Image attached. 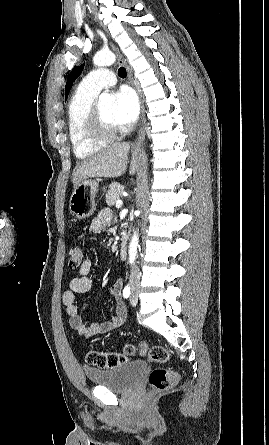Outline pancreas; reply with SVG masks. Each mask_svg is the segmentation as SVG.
Returning <instances> with one entry per match:
<instances>
[{
  "instance_id": "1",
  "label": "pancreas",
  "mask_w": 269,
  "mask_h": 445,
  "mask_svg": "<svg viewBox=\"0 0 269 445\" xmlns=\"http://www.w3.org/2000/svg\"><path fill=\"white\" fill-rule=\"evenodd\" d=\"M122 189L123 186L117 182H114L109 186L106 194V203L109 206L115 205L116 201L120 199Z\"/></svg>"
}]
</instances>
